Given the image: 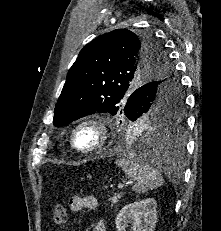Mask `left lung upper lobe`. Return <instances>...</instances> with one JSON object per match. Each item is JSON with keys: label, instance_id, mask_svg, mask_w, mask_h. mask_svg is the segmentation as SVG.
Here are the masks:
<instances>
[{"label": "left lung upper lobe", "instance_id": "5c2ea615", "mask_svg": "<svg viewBox=\"0 0 221 231\" xmlns=\"http://www.w3.org/2000/svg\"><path fill=\"white\" fill-rule=\"evenodd\" d=\"M136 90L140 100L134 105L130 96ZM183 102L180 82L156 37L116 29L80 51L57 101L53 124L64 126L95 112L127 117L139 112L137 118L149 115L158 126L176 127L183 122Z\"/></svg>", "mask_w": 221, "mask_h": 231}]
</instances>
